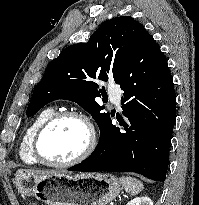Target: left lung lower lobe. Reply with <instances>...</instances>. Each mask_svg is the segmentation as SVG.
I'll return each instance as SVG.
<instances>
[{
	"label": "left lung lower lobe",
	"instance_id": "obj_1",
	"mask_svg": "<svg viewBox=\"0 0 199 205\" xmlns=\"http://www.w3.org/2000/svg\"><path fill=\"white\" fill-rule=\"evenodd\" d=\"M120 87L126 121L120 122L121 128L110 121L93 153L68 170L135 172L164 181L176 95L167 60L146 30L124 67Z\"/></svg>",
	"mask_w": 199,
	"mask_h": 205
}]
</instances>
